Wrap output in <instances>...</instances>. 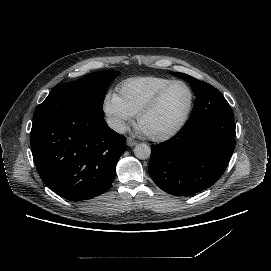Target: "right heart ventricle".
<instances>
[{
	"label": "right heart ventricle",
	"instance_id": "right-heart-ventricle-1",
	"mask_svg": "<svg viewBox=\"0 0 271 271\" xmlns=\"http://www.w3.org/2000/svg\"><path fill=\"white\" fill-rule=\"evenodd\" d=\"M173 80L166 76H142L126 79L118 86L120 100L132 116H138L154 96Z\"/></svg>",
	"mask_w": 271,
	"mask_h": 271
}]
</instances>
